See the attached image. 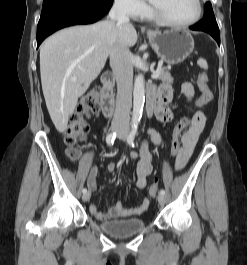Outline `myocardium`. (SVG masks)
<instances>
[{
    "label": "myocardium",
    "mask_w": 247,
    "mask_h": 265,
    "mask_svg": "<svg viewBox=\"0 0 247 265\" xmlns=\"http://www.w3.org/2000/svg\"><path fill=\"white\" fill-rule=\"evenodd\" d=\"M196 3H197L196 15L191 20L183 22V23L174 22L168 17H166L164 13L157 6L151 3L150 0H148V11H149L150 16L156 22L164 26H167V27L182 29V28L193 26L201 19L203 15V10H204L202 0H196Z\"/></svg>",
    "instance_id": "obj_1"
}]
</instances>
